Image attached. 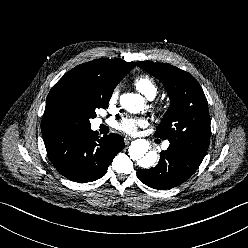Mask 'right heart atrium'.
Segmentation results:
<instances>
[{"instance_id":"obj_1","label":"right heart atrium","mask_w":248,"mask_h":248,"mask_svg":"<svg viewBox=\"0 0 248 248\" xmlns=\"http://www.w3.org/2000/svg\"><path fill=\"white\" fill-rule=\"evenodd\" d=\"M117 98H118V89L115 88L111 94V101L114 102L117 100Z\"/></svg>"}]
</instances>
